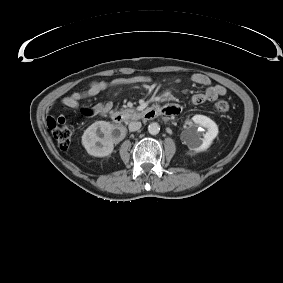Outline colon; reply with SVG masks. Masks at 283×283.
Wrapping results in <instances>:
<instances>
[{
	"label": "colon",
	"mask_w": 283,
	"mask_h": 283,
	"mask_svg": "<svg viewBox=\"0 0 283 283\" xmlns=\"http://www.w3.org/2000/svg\"><path fill=\"white\" fill-rule=\"evenodd\" d=\"M229 109V103L224 99H220L214 104V111L219 115L228 113ZM51 129L59 146L67 147L70 144L73 131L69 125L56 124Z\"/></svg>",
	"instance_id": "1"
}]
</instances>
